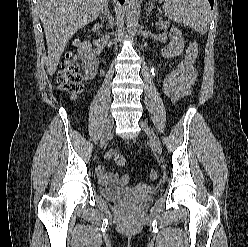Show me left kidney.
<instances>
[{"label":"left kidney","instance_id":"obj_1","mask_svg":"<svg viewBox=\"0 0 248 247\" xmlns=\"http://www.w3.org/2000/svg\"><path fill=\"white\" fill-rule=\"evenodd\" d=\"M155 25L158 26V29H166L169 27V23L163 21L156 22ZM169 36L170 43L162 50V56L164 58L176 57L184 50V38L178 28L172 27Z\"/></svg>","mask_w":248,"mask_h":247}]
</instances>
